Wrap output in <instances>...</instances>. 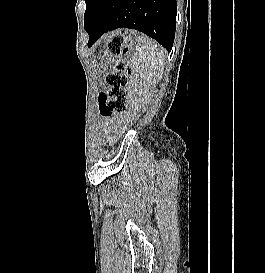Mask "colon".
<instances>
[{
	"instance_id": "colon-1",
	"label": "colon",
	"mask_w": 265,
	"mask_h": 273,
	"mask_svg": "<svg viewBox=\"0 0 265 273\" xmlns=\"http://www.w3.org/2000/svg\"><path fill=\"white\" fill-rule=\"evenodd\" d=\"M129 43L127 37L115 35L109 43L108 50L116 55L127 52ZM133 72L130 65L118 59L114 63L113 70L105 75L108 90L98 95V109L102 117H113L126 112L127 86ZM102 140H107V137H102ZM103 144L107 147L106 141H103Z\"/></svg>"
}]
</instances>
